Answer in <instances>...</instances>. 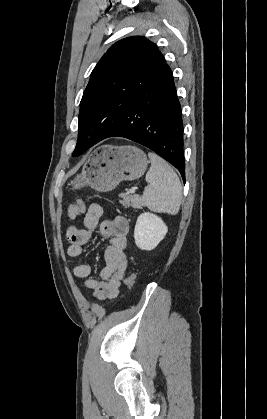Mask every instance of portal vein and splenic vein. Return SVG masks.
Segmentation results:
<instances>
[{"mask_svg": "<svg viewBox=\"0 0 267 419\" xmlns=\"http://www.w3.org/2000/svg\"><path fill=\"white\" fill-rule=\"evenodd\" d=\"M129 192H130V193H135V188H131V189L129 190Z\"/></svg>", "mask_w": 267, "mask_h": 419, "instance_id": "obj_1", "label": "portal vein and splenic vein"}]
</instances>
